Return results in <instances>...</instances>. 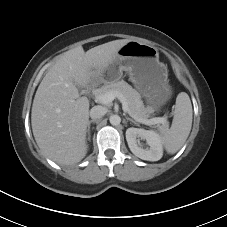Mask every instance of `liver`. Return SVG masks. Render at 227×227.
<instances>
[{
  "mask_svg": "<svg viewBox=\"0 0 227 227\" xmlns=\"http://www.w3.org/2000/svg\"><path fill=\"white\" fill-rule=\"evenodd\" d=\"M129 40L111 41L84 52L81 46L63 53L41 81L32 105L31 124L45 156L61 165L80 162L87 154L89 100L78 87L96 78Z\"/></svg>",
  "mask_w": 227,
  "mask_h": 227,
  "instance_id": "obj_1",
  "label": "liver"
}]
</instances>
